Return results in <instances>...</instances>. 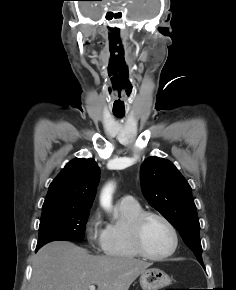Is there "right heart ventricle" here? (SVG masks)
<instances>
[{
    "label": "right heart ventricle",
    "mask_w": 236,
    "mask_h": 290,
    "mask_svg": "<svg viewBox=\"0 0 236 290\" xmlns=\"http://www.w3.org/2000/svg\"><path fill=\"white\" fill-rule=\"evenodd\" d=\"M118 211L120 219L110 223L104 229L101 243L105 255L115 258L133 259L138 257L130 237L131 221L142 212L141 206L136 202L125 204L119 202Z\"/></svg>",
    "instance_id": "right-heart-ventricle-1"
}]
</instances>
